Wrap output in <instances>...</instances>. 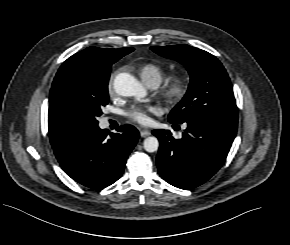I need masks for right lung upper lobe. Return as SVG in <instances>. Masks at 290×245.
<instances>
[{
	"instance_id": "cb5924a9",
	"label": "right lung upper lobe",
	"mask_w": 290,
	"mask_h": 245,
	"mask_svg": "<svg viewBox=\"0 0 290 245\" xmlns=\"http://www.w3.org/2000/svg\"><path fill=\"white\" fill-rule=\"evenodd\" d=\"M133 48L107 49L88 47L71 56L83 58L92 62L120 59L132 52ZM49 138L52 146L57 145L72 134L82 130L81 125L50 95L48 113Z\"/></svg>"
}]
</instances>
